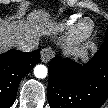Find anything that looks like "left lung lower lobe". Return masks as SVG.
<instances>
[{
  "label": "left lung lower lobe",
  "mask_w": 108,
  "mask_h": 108,
  "mask_svg": "<svg viewBox=\"0 0 108 108\" xmlns=\"http://www.w3.org/2000/svg\"><path fill=\"white\" fill-rule=\"evenodd\" d=\"M50 108H100L108 98V37L85 65L54 57L49 63Z\"/></svg>",
  "instance_id": "left-lung-lower-lobe-1"
}]
</instances>
